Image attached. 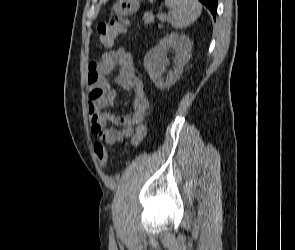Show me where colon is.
I'll list each match as a JSON object with an SVG mask.
<instances>
[{"label":"colon","mask_w":295,"mask_h":250,"mask_svg":"<svg viewBox=\"0 0 295 250\" xmlns=\"http://www.w3.org/2000/svg\"><path fill=\"white\" fill-rule=\"evenodd\" d=\"M127 21L123 17L116 15L109 22H101L95 28V34L104 45H111L116 38L126 29ZM146 134V126L139 125L132 138V144L138 145ZM95 154L101 166H105L108 161L109 152L107 147L101 143H95Z\"/></svg>","instance_id":"5ec220e1"}]
</instances>
